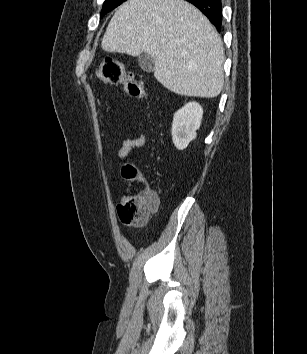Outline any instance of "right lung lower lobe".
<instances>
[{"label": "right lung lower lobe", "instance_id": "obj_1", "mask_svg": "<svg viewBox=\"0 0 307 354\" xmlns=\"http://www.w3.org/2000/svg\"><path fill=\"white\" fill-rule=\"evenodd\" d=\"M195 5L204 13L218 31L222 25V4L221 0H186Z\"/></svg>", "mask_w": 307, "mask_h": 354}]
</instances>
